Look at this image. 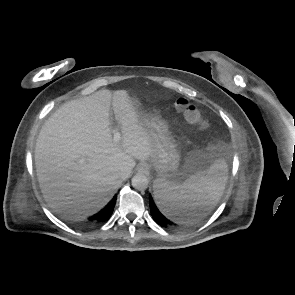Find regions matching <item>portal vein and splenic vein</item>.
<instances>
[{"instance_id":"obj_1","label":"portal vein and splenic vein","mask_w":295,"mask_h":295,"mask_svg":"<svg viewBox=\"0 0 295 295\" xmlns=\"http://www.w3.org/2000/svg\"><path fill=\"white\" fill-rule=\"evenodd\" d=\"M122 139L121 133L118 131V129H113V141L115 143H119Z\"/></svg>"}]
</instances>
